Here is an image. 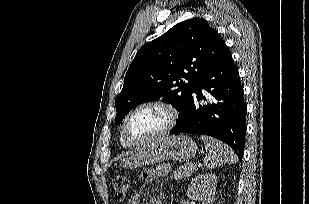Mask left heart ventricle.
Returning a JSON list of instances; mask_svg holds the SVG:
<instances>
[{"instance_id":"obj_1","label":"left heart ventricle","mask_w":309,"mask_h":204,"mask_svg":"<svg viewBox=\"0 0 309 204\" xmlns=\"http://www.w3.org/2000/svg\"><path fill=\"white\" fill-rule=\"evenodd\" d=\"M166 122L167 115L162 109L144 108L130 117L126 133L134 141L142 140L159 132Z\"/></svg>"}]
</instances>
